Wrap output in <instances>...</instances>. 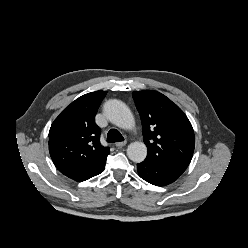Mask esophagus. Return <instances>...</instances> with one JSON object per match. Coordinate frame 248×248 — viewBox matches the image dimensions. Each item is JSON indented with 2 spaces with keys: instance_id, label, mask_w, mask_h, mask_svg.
Returning a JSON list of instances; mask_svg holds the SVG:
<instances>
[{
  "instance_id": "obj_1",
  "label": "esophagus",
  "mask_w": 248,
  "mask_h": 248,
  "mask_svg": "<svg viewBox=\"0 0 248 248\" xmlns=\"http://www.w3.org/2000/svg\"><path fill=\"white\" fill-rule=\"evenodd\" d=\"M126 141H122V142H117V143H115V146L117 147V148H122L123 146H125L126 145Z\"/></svg>"
}]
</instances>
